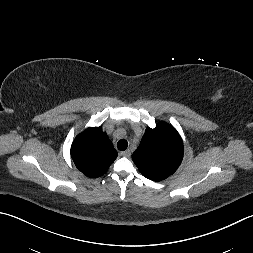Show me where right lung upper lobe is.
<instances>
[{
	"mask_svg": "<svg viewBox=\"0 0 253 253\" xmlns=\"http://www.w3.org/2000/svg\"><path fill=\"white\" fill-rule=\"evenodd\" d=\"M71 157L76 167L86 176H102L117 158V151L102 127L89 128L72 143Z\"/></svg>",
	"mask_w": 253,
	"mask_h": 253,
	"instance_id": "obj_1",
	"label": "right lung upper lobe"
}]
</instances>
